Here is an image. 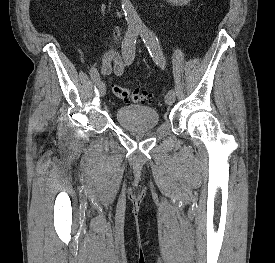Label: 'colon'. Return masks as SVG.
I'll list each match as a JSON object with an SVG mask.
<instances>
[{"instance_id": "obj_1", "label": "colon", "mask_w": 275, "mask_h": 263, "mask_svg": "<svg viewBox=\"0 0 275 263\" xmlns=\"http://www.w3.org/2000/svg\"><path fill=\"white\" fill-rule=\"evenodd\" d=\"M114 95L124 101H131L139 104H146L152 102L153 96L146 91H139L136 89L127 88L121 85L113 86Z\"/></svg>"}]
</instances>
